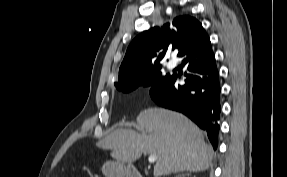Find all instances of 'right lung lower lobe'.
Masks as SVG:
<instances>
[{"mask_svg": "<svg viewBox=\"0 0 287 177\" xmlns=\"http://www.w3.org/2000/svg\"><path fill=\"white\" fill-rule=\"evenodd\" d=\"M178 57L187 65L185 84L177 74L170 75L150 89L151 98L159 106L179 111L207 132L216 149L220 118V84L215 56L205 30L190 39Z\"/></svg>", "mask_w": 287, "mask_h": 177, "instance_id": "right-lung-lower-lobe-1", "label": "right lung lower lobe"}]
</instances>
